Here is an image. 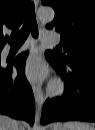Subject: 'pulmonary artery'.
Segmentation results:
<instances>
[{"instance_id":"e3ab8cb5","label":"pulmonary artery","mask_w":95,"mask_h":130,"mask_svg":"<svg viewBox=\"0 0 95 130\" xmlns=\"http://www.w3.org/2000/svg\"><path fill=\"white\" fill-rule=\"evenodd\" d=\"M40 40L42 42L57 43L59 41V38L56 35V33L52 32V31L44 30L41 32Z\"/></svg>"}]
</instances>
